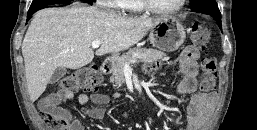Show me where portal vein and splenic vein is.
Here are the masks:
<instances>
[{"mask_svg":"<svg viewBox=\"0 0 257 130\" xmlns=\"http://www.w3.org/2000/svg\"><path fill=\"white\" fill-rule=\"evenodd\" d=\"M100 44H101V41H94V42H92L91 46H92V48L96 49L100 46ZM136 62H137L136 60L131 61V63H136ZM131 72H132V69L129 66V64H125L124 65V73H131Z\"/></svg>","mask_w":257,"mask_h":130,"instance_id":"portal-vein-and-splenic-vein-1","label":"portal vein and splenic vein"}]
</instances>
